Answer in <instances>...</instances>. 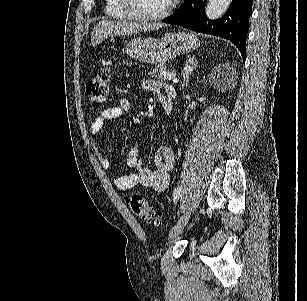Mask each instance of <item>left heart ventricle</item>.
I'll use <instances>...</instances> for the list:
<instances>
[{"label":"left heart ventricle","mask_w":307,"mask_h":301,"mask_svg":"<svg viewBox=\"0 0 307 301\" xmlns=\"http://www.w3.org/2000/svg\"><path fill=\"white\" fill-rule=\"evenodd\" d=\"M135 3V8L130 9L129 13H154V11H160L164 5V0H135L131 1ZM143 5V6H137Z\"/></svg>","instance_id":"obj_1"}]
</instances>
